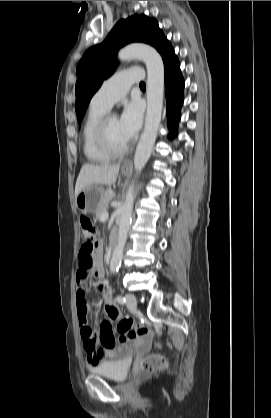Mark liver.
<instances>
[{
  "label": "liver",
  "instance_id": "liver-1",
  "mask_svg": "<svg viewBox=\"0 0 271 418\" xmlns=\"http://www.w3.org/2000/svg\"><path fill=\"white\" fill-rule=\"evenodd\" d=\"M120 164L115 165H93L83 164L75 185V197L93 184L110 186L116 182L119 173Z\"/></svg>",
  "mask_w": 271,
  "mask_h": 418
}]
</instances>
